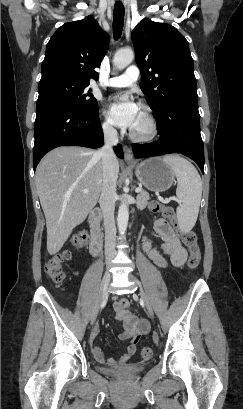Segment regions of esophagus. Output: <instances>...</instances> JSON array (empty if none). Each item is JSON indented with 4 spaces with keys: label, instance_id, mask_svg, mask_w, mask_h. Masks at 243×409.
I'll return each mask as SVG.
<instances>
[{
    "label": "esophagus",
    "instance_id": "esophagus-1",
    "mask_svg": "<svg viewBox=\"0 0 243 409\" xmlns=\"http://www.w3.org/2000/svg\"><path fill=\"white\" fill-rule=\"evenodd\" d=\"M124 159L126 162L133 163L134 156L132 150L128 146H123Z\"/></svg>",
    "mask_w": 243,
    "mask_h": 409
}]
</instances>
